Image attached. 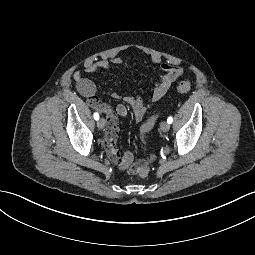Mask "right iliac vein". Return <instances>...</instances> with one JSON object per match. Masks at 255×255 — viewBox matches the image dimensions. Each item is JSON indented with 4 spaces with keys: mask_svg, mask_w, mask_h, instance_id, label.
<instances>
[{
    "mask_svg": "<svg viewBox=\"0 0 255 255\" xmlns=\"http://www.w3.org/2000/svg\"><path fill=\"white\" fill-rule=\"evenodd\" d=\"M106 125V121L104 118H100L98 121H97V126L98 128L100 129H103Z\"/></svg>",
    "mask_w": 255,
    "mask_h": 255,
    "instance_id": "1",
    "label": "right iliac vein"
}]
</instances>
